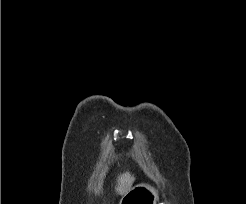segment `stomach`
Listing matches in <instances>:
<instances>
[{
    "instance_id": "1",
    "label": "stomach",
    "mask_w": 246,
    "mask_h": 204,
    "mask_svg": "<svg viewBox=\"0 0 246 204\" xmlns=\"http://www.w3.org/2000/svg\"><path fill=\"white\" fill-rule=\"evenodd\" d=\"M158 192L148 184H138L131 188L120 200L119 204H156Z\"/></svg>"
}]
</instances>
